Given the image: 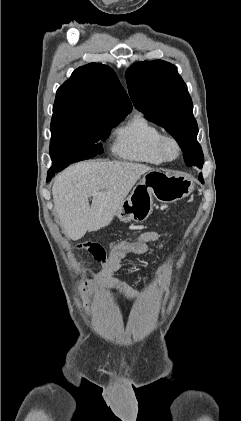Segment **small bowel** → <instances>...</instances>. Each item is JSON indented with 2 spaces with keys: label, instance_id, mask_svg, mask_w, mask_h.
<instances>
[{
  "label": "small bowel",
  "instance_id": "obj_1",
  "mask_svg": "<svg viewBox=\"0 0 241 421\" xmlns=\"http://www.w3.org/2000/svg\"><path fill=\"white\" fill-rule=\"evenodd\" d=\"M162 232L159 231H147L143 233L137 241L143 244H150L157 242L162 237ZM125 255L111 253L106 263H104L101 271L96 275L94 283L80 284L78 287V293H82L89 297L90 294H94L97 297L105 298L108 296L107 286L115 287L129 300H148L158 296L164 289V285H160L154 290L139 294L133 290L125 281L113 276V273L120 268L121 262Z\"/></svg>",
  "mask_w": 241,
  "mask_h": 421
}]
</instances>
